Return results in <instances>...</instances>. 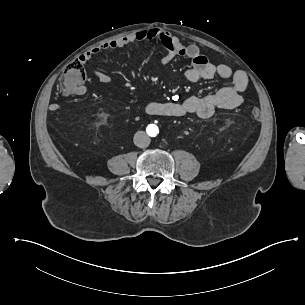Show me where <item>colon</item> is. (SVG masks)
<instances>
[{
  "label": "colon",
  "instance_id": "5ec220e1",
  "mask_svg": "<svg viewBox=\"0 0 305 305\" xmlns=\"http://www.w3.org/2000/svg\"><path fill=\"white\" fill-rule=\"evenodd\" d=\"M86 86V72L79 61H69L64 66L62 81L57 83V91L60 94L76 95ZM254 120H259L260 112L254 108L251 110Z\"/></svg>",
  "mask_w": 305,
  "mask_h": 305
}]
</instances>
